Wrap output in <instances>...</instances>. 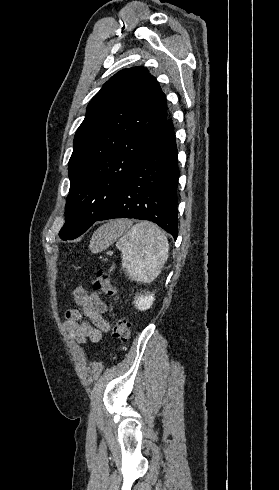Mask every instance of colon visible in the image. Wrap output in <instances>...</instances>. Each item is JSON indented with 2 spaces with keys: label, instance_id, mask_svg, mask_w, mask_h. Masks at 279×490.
I'll use <instances>...</instances> for the list:
<instances>
[{
  "label": "colon",
  "instance_id": "colon-1",
  "mask_svg": "<svg viewBox=\"0 0 279 490\" xmlns=\"http://www.w3.org/2000/svg\"><path fill=\"white\" fill-rule=\"evenodd\" d=\"M93 287L101 294L108 297H115L117 290L105 271H97L92 276ZM130 323L126 319H120L115 322L113 328L114 338L121 344H126L130 339Z\"/></svg>",
  "mask_w": 279,
  "mask_h": 490
}]
</instances>
